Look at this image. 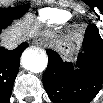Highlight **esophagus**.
I'll use <instances>...</instances> for the list:
<instances>
[{"label": "esophagus", "instance_id": "obj_1", "mask_svg": "<svg viewBox=\"0 0 103 103\" xmlns=\"http://www.w3.org/2000/svg\"><path fill=\"white\" fill-rule=\"evenodd\" d=\"M34 44L39 47H46L48 45L47 41L43 38H37L34 40Z\"/></svg>", "mask_w": 103, "mask_h": 103}]
</instances>
